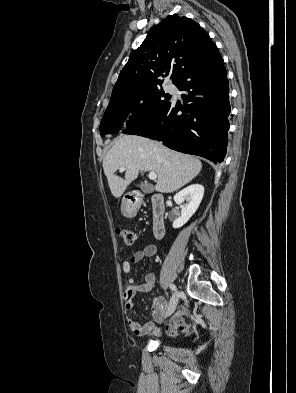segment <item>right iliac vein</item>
<instances>
[{
	"mask_svg": "<svg viewBox=\"0 0 296 393\" xmlns=\"http://www.w3.org/2000/svg\"><path fill=\"white\" fill-rule=\"evenodd\" d=\"M178 300H179L178 293H175V294L172 296L171 300H170V304H169V307H168V311H167V313H166L167 316L171 315V314L175 311V309H176V307H177V304H178Z\"/></svg>",
	"mask_w": 296,
	"mask_h": 393,
	"instance_id": "right-iliac-vein-1",
	"label": "right iliac vein"
}]
</instances>
